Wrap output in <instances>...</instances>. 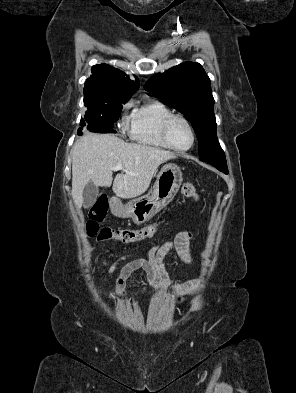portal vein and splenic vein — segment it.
I'll use <instances>...</instances> for the list:
<instances>
[{"instance_id":"obj_1","label":"portal vein and splenic vein","mask_w":296,"mask_h":393,"mask_svg":"<svg viewBox=\"0 0 296 393\" xmlns=\"http://www.w3.org/2000/svg\"><path fill=\"white\" fill-rule=\"evenodd\" d=\"M123 169H124V167H123L122 164H118L117 166H115V167L113 168L114 171L123 170Z\"/></svg>"}]
</instances>
